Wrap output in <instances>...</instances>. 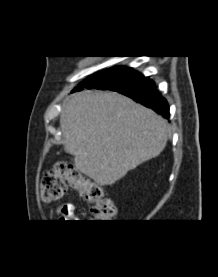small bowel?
Returning <instances> with one entry per match:
<instances>
[{"mask_svg":"<svg viewBox=\"0 0 218 277\" xmlns=\"http://www.w3.org/2000/svg\"><path fill=\"white\" fill-rule=\"evenodd\" d=\"M56 216L61 222H75L78 217L75 214V205L70 202L63 203L56 210Z\"/></svg>","mask_w":218,"mask_h":277,"instance_id":"1","label":"small bowel"}]
</instances>
